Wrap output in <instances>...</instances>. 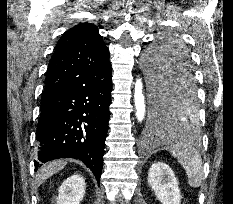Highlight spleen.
<instances>
[{"mask_svg":"<svg viewBox=\"0 0 233 204\" xmlns=\"http://www.w3.org/2000/svg\"><path fill=\"white\" fill-rule=\"evenodd\" d=\"M170 153L183 166L190 187H200L204 180V167L199 151L188 143L179 142L170 147Z\"/></svg>","mask_w":233,"mask_h":204,"instance_id":"1","label":"spleen"}]
</instances>
